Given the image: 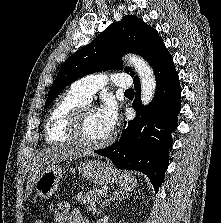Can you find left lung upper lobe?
<instances>
[{"mask_svg":"<svg viewBox=\"0 0 221 223\" xmlns=\"http://www.w3.org/2000/svg\"><path fill=\"white\" fill-rule=\"evenodd\" d=\"M165 49L154 28L147 26L135 15H126L121 21L109 25L90 44L79 49L63 63L50 88L45 108L72 81L97 71L121 69L120 57L124 54L140 55L153 68ZM125 71L134 76L129 67ZM137 80L139 78L135 76L134 81Z\"/></svg>","mask_w":221,"mask_h":223,"instance_id":"left-lung-upper-lobe-1","label":"left lung upper lobe"}]
</instances>
